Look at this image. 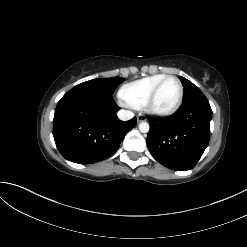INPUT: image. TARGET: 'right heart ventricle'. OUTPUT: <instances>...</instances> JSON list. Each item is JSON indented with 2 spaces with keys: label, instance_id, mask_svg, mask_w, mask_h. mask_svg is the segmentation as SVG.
Returning <instances> with one entry per match:
<instances>
[{
  "label": "right heart ventricle",
  "instance_id": "obj_1",
  "mask_svg": "<svg viewBox=\"0 0 247 247\" xmlns=\"http://www.w3.org/2000/svg\"><path fill=\"white\" fill-rule=\"evenodd\" d=\"M165 76L163 73L154 74L125 84L121 88V96L130 106L142 108L153 88Z\"/></svg>",
  "mask_w": 247,
  "mask_h": 247
}]
</instances>
